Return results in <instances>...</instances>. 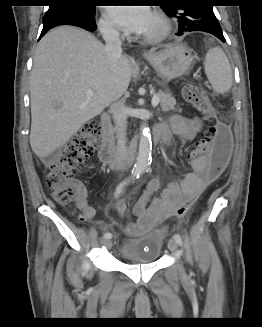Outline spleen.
<instances>
[{
  "label": "spleen",
  "instance_id": "1",
  "mask_svg": "<svg viewBox=\"0 0 262 327\" xmlns=\"http://www.w3.org/2000/svg\"><path fill=\"white\" fill-rule=\"evenodd\" d=\"M205 73L217 93H226L232 87V70L229 60L219 47L210 49L205 56Z\"/></svg>",
  "mask_w": 262,
  "mask_h": 327
}]
</instances>
